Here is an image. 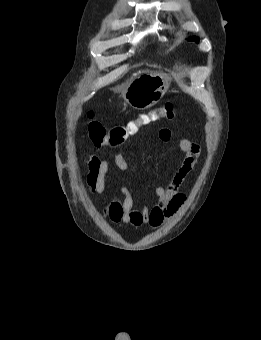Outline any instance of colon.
<instances>
[{"instance_id": "5ec220e1", "label": "colon", "mask_w": 261, "mask_h": 340, "mask_svg": "<svg viewBox=\"0 0 261 340\" xmlns=\"http://www.w3.org/2000/svg\"><path fill=\"white\" fill-rule=\"evenodd\" d=\"M175 116L172 103H164L154 108L149 113L138 115L135 119L111 128L104 127L100 122L93 120V113L88 112L89 124L88 134L95 146L107 145L115 147L136 135L140 128L151 122L160 120H171Z\"/></svg>"}]
</instances>
